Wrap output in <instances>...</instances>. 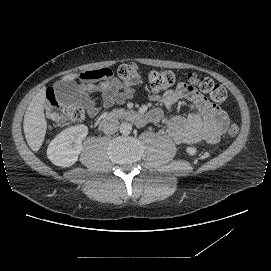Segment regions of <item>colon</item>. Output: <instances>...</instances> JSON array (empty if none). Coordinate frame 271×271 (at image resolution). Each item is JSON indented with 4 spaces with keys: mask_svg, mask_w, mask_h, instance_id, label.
<instances>
[{
    "mask_svg": "<svg viewBox=\"0 0 271 271\" xmlns=\"http://www.w3.org/2000/svg\"><path fill=\"white\" fill-rule=\"evenodd\" d=\"M118 77L124 88L130 89L141 80L140 70L135 62L124 63L117 69ZM176 75L169 70H151L148 73V90L158 94L176 82ZM191 86L197 87L201 92L207 94L215 103H221L226 99L227 92L224 87L216 84L208 77H199L194 73L187 75ZM46 116L51 124H69L81 121L85 117V110L77 105L62 104L56 97L53 90L47 94ZM238 134V127L232 124L228 129V135L235 137Z\"/></svg>",
    "mask_w": 271,
    "mask_h": 271,
    "instance_id": "5ec220e1",
    "label": "colon"
}]
</instances>
